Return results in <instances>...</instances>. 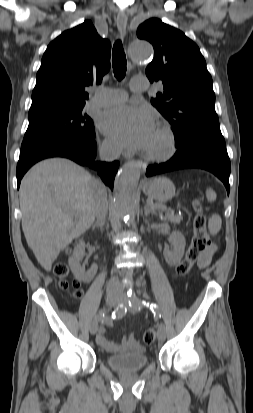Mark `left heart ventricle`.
<instances>
[{"label":"left heart ventricle","mask_w":253,"mask_h":413,"mask_svg":"<svg viewBox=\"0 0 253 413\" xmlns=\"http://www.w3.org/2000/svg\"><path fill=\"white\" fill-rule=\"evenodd\" d=\"M163 145H164L163 139H162L161 135L159 134L158 130L155 129V131L153 133L151 143L147 148L148 149L159 150L163 147Z\"/></svg>","instance_id":"b2bd125f"}]
</instances>
